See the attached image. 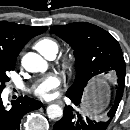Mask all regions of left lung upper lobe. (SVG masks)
I'll list each match as a JSON object with an SVG mask.
<instances>
[{
    "mask_svg": "<svg viewBox=\"0 0 130 130\" xmlns=\"http://www.w3.org/2000/svg\"><path fill=\"white\" fill-rule=\"evenodd\" d=\"M66 41L76 57V77L68 89L69 98L82 97L84 89L98 76L114 70L118 76L115 101L120 102L125 82V61L117 40L104 29L86 22L51 27Z\"/></svg>",
    "mask_w": 130,
    "mask_h": 130,
    "instance_id": "obj_1",
    "label": "left lung upper lobe"
}]
</instances>
